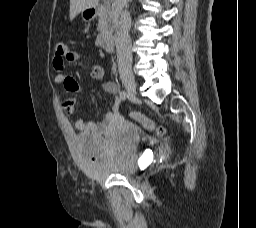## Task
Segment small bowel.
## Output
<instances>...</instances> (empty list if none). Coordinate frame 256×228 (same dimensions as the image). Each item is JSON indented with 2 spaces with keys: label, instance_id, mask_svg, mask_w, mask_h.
Wrapping results in <instances>:
<instances>
[{
  "label": "small bowel",
  "instance_id": "obj_1",
  "mask_svg": "<svg viewBox=\"0 0 256 228\" xmlns=\"http://www.w3.org/2000/svg\"><path fill=\"white\" fill-rule=\"evenodd\" d=\"M81 61V56L76 51L69 49V53L66 56V60L59 62L55 57L53 58V67L57 71L55 76V82L62 84L65 90L69 93H77L80 91V86L77 81L64 71L65 62L78 63ZM103 68L99 65H93L91 68L90 76L94 80H99L103 77ZM104 91L110 94L114 99L112 109L105 115L100 122L84 121L81 118H77L74 121L75 129L88 132V133H104L112 130H116L125 125L126 120L120 111V98L118 96V87L113 82H107L103 87ZM63 108L67 113H72L75 108V99L72 97L67 98L62 103Z\"/></svg>",
  "mask_w": 256,
  "mask_h": 228
}]
</instances>
